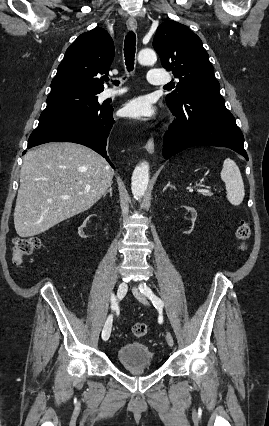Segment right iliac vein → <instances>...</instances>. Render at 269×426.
I'll return each instance as SVG.
<instances>
[{
  "label": "right iliac vein",
  "instance_id": "obj_1",
  "mask_svg": "<svg viewBox=\"0 0 269 426\" xmlns=\"http://www.w3.org/2000/svg\"><path fill=\"white\" fill-rule=\"evenodd\" d=\"M126 292H127V284L125 282H121L118 286V291H117L118 299L121 300L125 296ZM112 322H113V316L110 315L107 318L102 330V339L104 341L108 340L110 337Z\"/></svg>",
  "mask_w": 269,
  "mask_h": 426
}]
</instances>
